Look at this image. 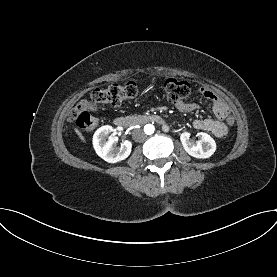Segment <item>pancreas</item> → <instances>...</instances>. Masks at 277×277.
Segmentation results:
<instances>
[{"mask_svg": "<svg viewBox=\"0 0 277 277\" xmlns=\"http://www.w3.org/2000/svg\"><path fill=\"white\" fill-rule=\"evenodd\" d=\"M129 118H133V116H129Z\"/></svg>", "mask_w": 277, "mask_h": 277, "instance_id": "obj_1", "label": "pancreas"}]
</instances>
